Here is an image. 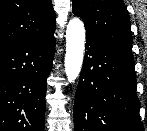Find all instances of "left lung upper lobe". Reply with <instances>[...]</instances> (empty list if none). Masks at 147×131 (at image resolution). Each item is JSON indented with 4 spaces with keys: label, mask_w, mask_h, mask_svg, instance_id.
Masks as SVG:
<instances>
[{
    "label": "left lung upper lobe",
    "mask_w": 147,
    "mask_h": 131,
    "mask_svg": "<svg viewBox=\"0 0 147 131\" xmlns=\"http://www.w3.org/2000/svg\"><path fill=\"white\" fill-rule=\"evenodd\" d=\"M73 13L83 19L87 37L132 55L130 17L122 0H73Z\"/></svg>",
    "instance_id": "obj_1"
}]
</instances>
